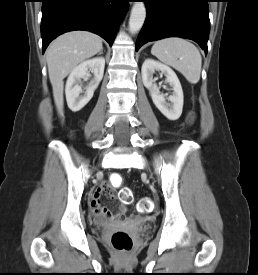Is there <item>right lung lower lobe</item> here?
<instances>
[{
    "mask_svg": "<svg viewBox=\"0 0 258 275\" xmlns=\"http://www.w3.org/2000/svg\"><path fill=\"white\" fill-rule=\"evenodd\" d=\"M129 0H42V53L60 34L87 30L111 46Z\"/></svg>",
    "mask_w": 258,
    "mask_h": 275,
    "instance_id": "1",
    "label": "right lung lower lobe"
}]
</instances>
